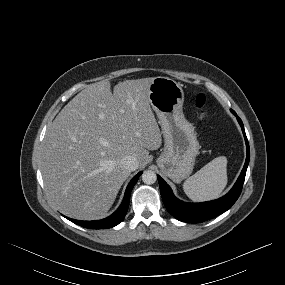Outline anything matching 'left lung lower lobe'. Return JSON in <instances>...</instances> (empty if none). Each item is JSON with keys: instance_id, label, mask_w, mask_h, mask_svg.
Instances as JSON below:
<instances>
[{"instance_id": "1", "label": "left lung lower lobe", "mask_w": 285, "mask_h": 285, "mask_svg": "<svg viewBox=\"0 0 285 285\" xmlns=\"http://www.w3.org/2000/svg\"><path fill=\"white\" fill-rule=\"evenodd\" d=\"M232 113L236 115V113L233 110ZM237 120L243 131V135L246 142L247 155L244 167L241 171L239 178L237 179L233 188L225 196L217 200L208 201V202L185 203L177 199L173 195V192L169 187V185L160 176H157L164 205L169 211V213L172 216H174L176 219L190 223L204 222L227 211L229 208L232 207V205L238 199L242 191L246 170L249 164L250 150L243 123L239 117H237Z\"/></svg>"}]
</instances>
